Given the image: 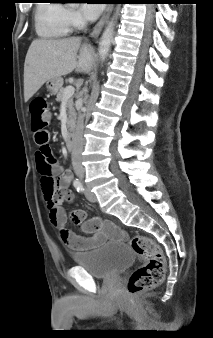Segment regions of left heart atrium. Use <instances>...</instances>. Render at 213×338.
I'll list each match as a JSON object with an SVG mask.
<instances>
[{
  "label": "left heart atrium",
  "mask_w": 213,
  "mask_h": 338,
  "mask_svg": "<svg viewBox=\"0 0 213 338\" xmlns=\"http://www.w3.org/2000/svg\"><path fill=\"white\" fill-rule=\"evenodd\" d=\"M90 2V1H87ZM82 11L87 19L93 20L98 17L101 12V5L94 3L81 4Z\"/></svg>",
  "instance_id": "39dd6f15"
}]
</instances>
